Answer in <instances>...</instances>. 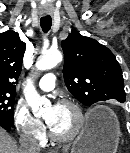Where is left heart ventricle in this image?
Segmentation results:
<instances>
[{
  "mask_svg": "<svg viewBox=\"0 0 130 153\" xmlns=\"http://www.w3.org/2000/svg\"><path fill=\"white\" fill-rule=\"evenodd\" d=\"M45 119L49 126L60 135L68 134L76 122L74 111L70 107L63 105H58L55 111L52 108H48L45 113Z\"/></svg>",
  "mask_w": 130,
  "mask_h": 153,
  "instance_id": "obj_1",
  "label": "left heart ventricle"
}]
</instances>
